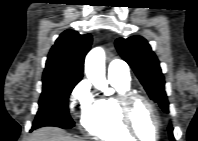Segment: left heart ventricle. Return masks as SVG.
Segmentation results:
<instances>
[{"mask_svg":"<svg viewBox=\"0 0 198 141\" xmlns=\"http://www.w3.org/2000/svg\"><path fill=\"white\" fill-rule=\"evenodd\" d=\"M133 124L139 136L145 141H153L157 128L149 108L143 102H139L133 111Z\"/></svg>","mask_w":198,"mask_h":141,"instance_id":"1","label":"left heart ventricle"}]
</instances>
